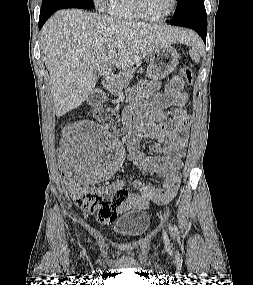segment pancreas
I'll return each instance as SVG.
<instances>
[{"mask_svg":"<svg viewBox=\"0 0 253 285\" xmlns=\"http://www.w3.org/2000/svg\"><path fill=\"white\" fill-rule=\"evenodd\" d=\"M135 71L136 69L132 67L125 68L119 74L111 77L107 85V89L110 91V93L113 95L120 94L123 88H126L129 85ZM142 72L143 70H140V73Z\"/></svg>","mask_w":253,"mask_h":285,"instance_id":"obj_1","label":"pancreas"}]
</instances>
